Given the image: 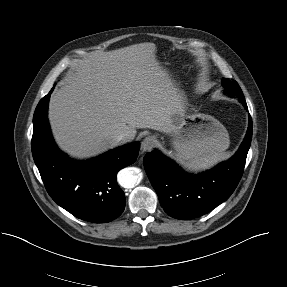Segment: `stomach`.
<instances>
[{
	"instance_id": "0dacf381",
	"label": "stomach",
	"mask_w": 287,
	"mask_h": 287,
	"mask_svg": "<svg viewBox=\"0 0 287 287\" xmlns=\"http://www.w3.org/2000/svg\"><path fill=\"white\" fill-rule=\"evenodd\" d=\"M170 137L176 158L187 165L221 153L230 144L226 128L213 116L199 113L193 106L186 107Z\"/></svg>"
}]
</instances>
